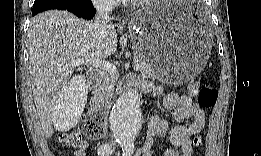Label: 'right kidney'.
Wrapping results in <instances>:
<instances>
[{"label":"right kidney","mask_w":261,"mask_h":156,"mask_svg":"<svg viewBox=\"0 0 261 156\" xmlns=\"http://www.w3.org/2000/svg\"><path fill=\"white\" fill-rule=\"evenodd\" d=\"M84 81H85V79H84V78H81V79H80V83H81V82H84ZM77 84H78V83H77Z\"/></svg>","instance_id":"right-kidney-1"}]
</instances>
